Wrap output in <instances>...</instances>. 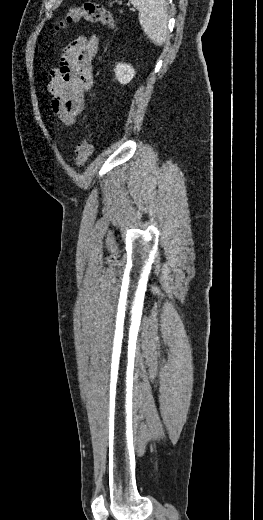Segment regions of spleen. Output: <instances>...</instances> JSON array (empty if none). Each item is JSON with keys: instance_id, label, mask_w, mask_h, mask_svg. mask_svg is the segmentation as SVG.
Returning <instances> with one entry per match:
<instances>
[{"instance_id": "1", "label": "spleen", "mask_w": 263, "mask_h": 520, "mask_svg": "<svg viewBox=\"0 0 263 520\" xmlns=\"http://www.w3.org/2000/svg\"><path fill=\"white\" fill-rule=\"evenodd\" d=\"M139 11V21L147 37L162 46L168 37V10L166 0H130Z\"/></svg>"}]
</instances>
